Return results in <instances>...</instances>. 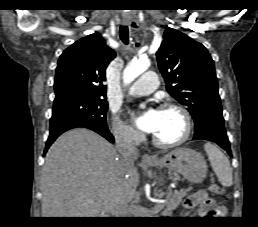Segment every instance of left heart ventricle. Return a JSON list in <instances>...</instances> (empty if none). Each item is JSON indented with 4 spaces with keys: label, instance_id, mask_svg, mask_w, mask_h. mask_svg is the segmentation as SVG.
Listing matches in <instances>:
<instances>
[{
    "label": "left heart ventricle",
    "instance_id": "left-heart-ventricle-1",
    "mask_svg": "<svg viewBox=\"0 0 258 227\" xmlns=\"http://www.w3.org/2000/svg\"><path fill=\"white\" fill-rule=\"evenodd\" d=\"M184 132V120L175 110H158V122L153 135L162 141H174Z\"/></svg>",
    "mask_w": 258,
    "mask_h": 227
}]
</instances>
